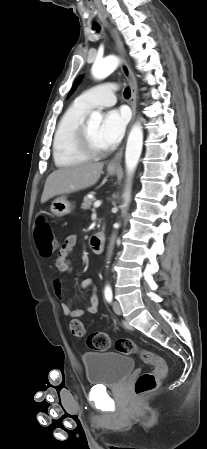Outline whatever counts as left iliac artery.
I'll return each mask as SVG.
<instances>
[{"label": "left iliac artery", "mask_w": 207, "mask_h": 449, "mask_svg": "<svg viewBox=\"0 0 207 449\" xmlns=\"http://www.w3.org/2000/svg\"><path fill=\"white\" fill-rule=\"evenodd\" d=\"M104 296L108 303H111L113 300L112 289L110 286H106L104 289Z\"/></svg>", "instance_id": "left-iliac-artery-1"}]
</instances>
